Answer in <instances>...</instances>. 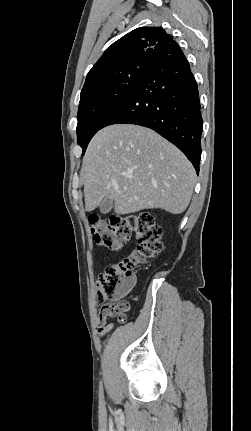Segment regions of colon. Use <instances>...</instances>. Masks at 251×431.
Masks as SVG:
<instances>
[{
	"label": "colon",
	"mask_w": 251,
	"mask_h": 431,
	"mask_svg": "<svg viewBox=\"0 0 251 431\" xmlns=\"http://www.w3.org/2000/svg\"><path fill=\"white\" fill-rule=\"evenodd\" d=\"M90 233L95 243L108 250H118L133 236L136 248L130 255L109 265L97 281V300L103 309L125 323L129 303L121 298L131 289L134 268L157 256L163 250V230L149 212L112 216L106 221L97 214L88 217Z\"/></svg>",
	"instance_id": "5ec220e1"
}]
</instances>
